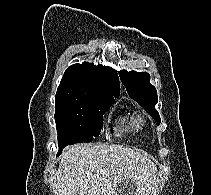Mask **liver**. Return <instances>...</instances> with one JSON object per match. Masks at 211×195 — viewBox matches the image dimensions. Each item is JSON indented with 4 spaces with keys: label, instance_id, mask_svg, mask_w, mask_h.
Returning a JSON list of instances; mask_svg holds the SVG:
<instances>
[{
    "label": "liver",
    "instance_id": "obj_1",
    "mask_svg": "<svg viewBox=\"0 0 211 195\" xmlns=\"http://www.w3.org/2000/svg\"><path fill=\"white\" fill-rule=\"evenodd\" d=\"M159 175L149 158L129 147L77 144L62 154L56 195H119L124 181H131L136 195H157Z\"/></svg>",
    "mask_w": 211,
    "mask_h": 195
}]
</instances>
